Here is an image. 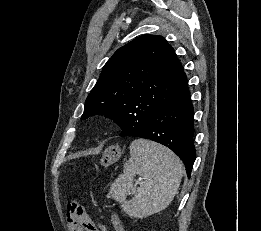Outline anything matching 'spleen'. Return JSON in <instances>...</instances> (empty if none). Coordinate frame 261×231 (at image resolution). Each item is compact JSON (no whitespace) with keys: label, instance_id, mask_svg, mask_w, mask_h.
<instances>
[{"label":"spleen","instance_id":"1","mask_svg":"<svg viewBox=\"0 0 261 231\" xmlns=\"http://www.w3.org/2000/svg\"><path fill=\"white\" fill-rule=\"evenodd\" d=\"M183 167L179 158L168 148L145 139L130 144V158L123 174L112 183L110 196L121 203L123 211L136 218H143L165 209L176 195ZM142 177L135 191L133 178ZM134 197L127 201L128 194Z\"/></svg>","mask_w":261,"mask_h":231}]
</instances>
